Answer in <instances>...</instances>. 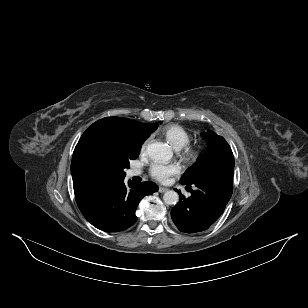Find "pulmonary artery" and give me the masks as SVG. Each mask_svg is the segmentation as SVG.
Returning a JSON list of instances; mask_svg holds the SVG:
<instances>
[{"mask_svg": "<svg viewBox=\"0 0 308 308\" xmlns=\"http://www.w3.org/2000/svg\"><path fill=\"white\" fill-rule=\"evenodd\" d=\"M140 174V171L137 169H132L129 171V176L133 177V176H137Z\"/></svg>", "mask_w": 308, "mask_h": 308, "instance_id": "obj_1", "label": "pulmonary artery"}]
</instances>
